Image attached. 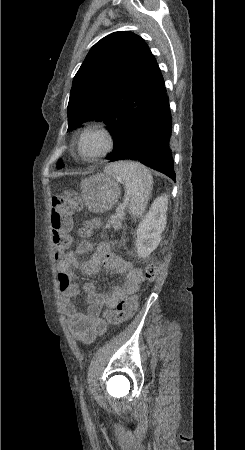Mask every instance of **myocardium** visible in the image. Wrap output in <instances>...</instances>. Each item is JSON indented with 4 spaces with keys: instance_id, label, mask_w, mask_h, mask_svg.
<instances>
[{
    "instance_id": "obj_1",
    "label": "myocardium",
    "mask_w": 245,
    "mask_h": 450,
    "mask_svg": "<svg viewBox=\"0 0 245 450\" xmlns=\"http://www.w3.org/2000/svg\"><path fill=\"white\" fill-rule=\"evenodd\" d=\"M93 136H100L103 139L104 141L103 147L96 153L92 154L83 153L82 152L83 144L86 142L88 138ZM114 143H115L114 137L107 127L103 125H94L86 127L81 131L76 140L75 148L76 152L80 155V157L86 160H91L108 155L113 150Z\"/></svg>"
}]
</instances>
